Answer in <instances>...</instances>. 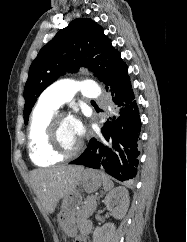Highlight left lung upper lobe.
Wrapping results in <instances>:
<instances>
[{
    "label": "left lung upper lobe",
    "mask_w": 187,
    "mask_h": 242,
    "mask_svg": "<svg viewBox=\"0 0 187 242\" xmlns=\"http://www.w3.org/2000/svg\"><path fill=\"white\" fill-rule=\"evenodd\" d=\"M103 32L92 19H75L40 50L24 87L25 124L38 96L66 72L86 67L95 72L107 89L128 73L120 53Z\"/></svg>",
    "instance_id": "1"
}]
</instances>
